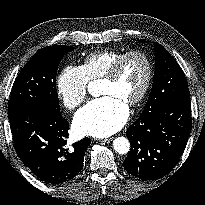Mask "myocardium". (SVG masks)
I'll return each instance as SVG.
<instances>
[{"instance_id":"myocardium-1","label":"myocardium","mask_w":205,"mask_h":205,"mask_svg":"<svg viewBox=\"0 0 205 205\" xmlns=\"http://www.w3.org/2000/svg\"><path fill=\"white\" fill-rule=\"evenodd\" d=\"M132 56H138L145 61L146 67H147V73H146L145 82L143 84L141 91L132 101H130L127 104L129 106H135L141 103L150 89L152 79H153V64H152V60L150 56L147 53L143 51H139V50H132V51L126 52L110 67L108 72L102 77L103 81L116 80L124 62Z\"/></svg>"}]
</instances>
